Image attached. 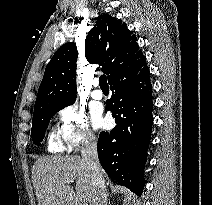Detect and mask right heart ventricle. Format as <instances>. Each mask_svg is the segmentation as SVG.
Masks as SVG:
<instances>
[{"label": "right heart ventricle", "mask_w": 212, "mask_h": 205, "mask_svg": "<svg viewBox=\"0 0 212 205\" xmlns=\"http://www.w3.org/2000/svg\"><path fill=\"white\" fill-rule=\"evenodd\" d=\"M48 149L50 152L59 153L62 152L65 147L58 134L51 132L48 138Z\"/></svg>", "instance_id": "1"}]
</instances>
